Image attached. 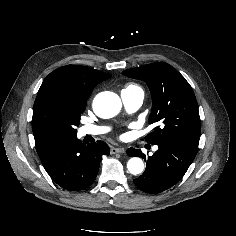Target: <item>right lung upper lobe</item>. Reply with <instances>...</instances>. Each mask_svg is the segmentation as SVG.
I'll use <instances>...</instances> for the list:
<instances>
[{"instance_id":"cb5924a9","label":"right lung upper lobe","mask_w":236,"mask_h":236,"mask_svg":"<svg viewBox=\"0 0 236 236\" xmlns=\"http://www.w3.org/2000/svg\"><path fill=\"white\" fill-rule=\"evenodd\" d=\"M110 77L108 73L86 66L67 65L51 72L44 79L38 94L58 92L71 102L86 103L95 86Z\"/></svg>"}]
</instances>
